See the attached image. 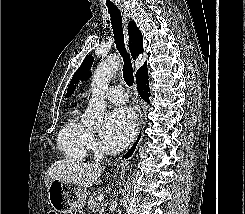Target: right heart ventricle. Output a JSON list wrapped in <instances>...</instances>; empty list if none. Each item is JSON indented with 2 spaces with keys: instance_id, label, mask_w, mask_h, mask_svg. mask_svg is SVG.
I'll return each instance as SVG.
<instances>
[{
  "instance_id": "e07e8e85",
  "label": "right heart ventricle",
  "mask_w": 245,
  "mask_h": 214,
  "mask_svg": "<svg viewBox=\"0 0 245 214\" xmlns=\"http://www.w3.org/2000/svg\"><path fill=\"white\" fill-rule=\"evenodd\" d=\"M79 107L74 108L61 127L57 146L62 155L71 161L82 162L89 151V131L79 122Z\"/></svg>"
}]
</instances>
